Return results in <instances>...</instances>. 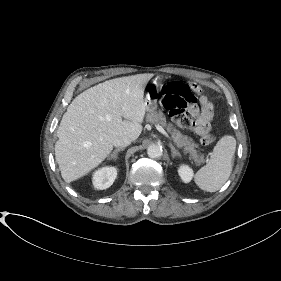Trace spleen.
Instances as JSON below:
<instances>
[{"mask_svg":"<svg viewBox=\"0 0 281 281\" xmlns=\"http://www.w3.org/2000/svg\"><path fill=\"white\" fill-rule=\"evenodd\" d=\"M236 139L223 136L210 153V160L195 174V183L207 192L218 191L228 180L233 168Z\"/></svg>","mask_w":281,"mask_h":281,"instance_id":"spleen-1","label":"spleen"}]
</instances>
